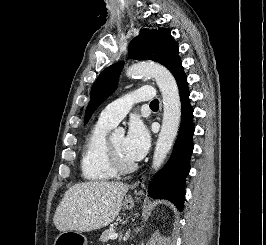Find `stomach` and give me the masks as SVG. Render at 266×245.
<instances>
[{
  "instance_id": "0dacf381",
  "label": "stomach",
  "mask_w": 266,
  "mask_h": 245,
  "mask_svg": "<svg viewBox=\"0 0 266 245\" xmlns=\"http://www.w3.org/2000/svg\"><path fill=\"white\" fill-rule=\"evenodd\" d=\"M123 205L124 209L130 211L134 207V201L130 197H125ZM58 242H74V245H87L88 243L86 237L79 231L76 233H59Z\"/></svg>"
}]
</instances>
